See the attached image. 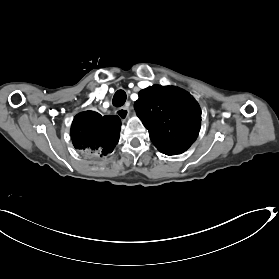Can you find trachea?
<instances>
[{
	"label": "trachea",
	"instance_id": "1",
	"mask_svg": "<svg viewBox=\"0 0 279 279\" xmlns=\"http://www.w3.org/2000/svg\"><path fill=\"white\" fill-rule=\"evenodd\" d=\"M127 96L124 90H118L113 97L112 103L115 107H121L126 102Z\"/></svg>",
	"mask_w": 279,
	"mask_h": 279
}]
</instances>
